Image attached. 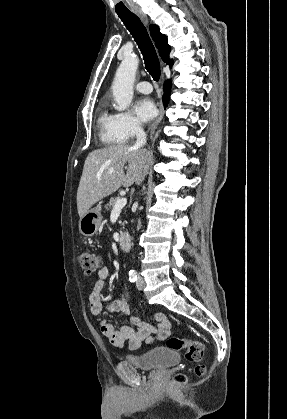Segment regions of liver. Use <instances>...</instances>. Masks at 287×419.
Masks as SVG:
<instances>
[{
	"mask_svg": "<svg viewBox=\"0 0 287 419\" xmlns=\"http://www.w3.org/2000/svg\"><path fill=\"white\" fill-rule=\"evenodd\" d=\"M126 163L128 168L125 174ZM150 163V153L134 146L112 145L90 152L77 190L79 217L82 218L94 204L121 186L129 187L134 183L140 185Z\"/></svg>",
	"mask_w": 287,
	"mask_h": 419,
	"instance_id": "obj_1",
	"label": "liver"
}]
</instances>
